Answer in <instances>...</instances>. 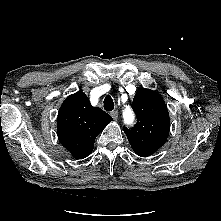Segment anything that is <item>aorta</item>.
I'll list each match as a JSON object with an SVG mask.
<instances>
[{
    "mask_svg": "<svg viewBox=\"0 0 221 221\" xmlns=\"http://www.w3.org/2000/svg\"><path fill=\"white\" fill-rule=\"evenodd\" d=\"M134 119L135 114L133 110L129 106H127L123 111V120L125 124H132L134 122Z\"/></svg>",
    "mask_w": 221,
    "mask_h": 221,
    "instance_id": "762f6f07",
    "label": "aorta"
}]
</instances>
